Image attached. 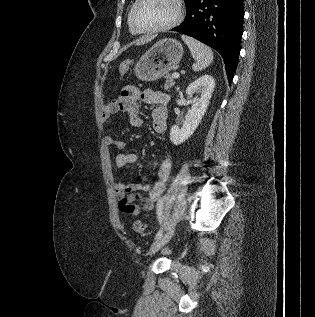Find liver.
I'll use <instances>...</instances> for the list:
<instances>
[{"label": "liver", "instance_id": "1", "mask_svg": "<svg viewBox=\"0 0 315 317\" xmlns=\"http://www.w3.org/2000/svg\"><path fill=\"white\" fill-rule=\"evenodd\" d=\"M152 39H154V36H151V37H143V38H140L138 40H136L134 43L136 45H144L148 42H150Z\"/></svg>", "mask_w": 315, "mask_h": 317}]
</instances>
